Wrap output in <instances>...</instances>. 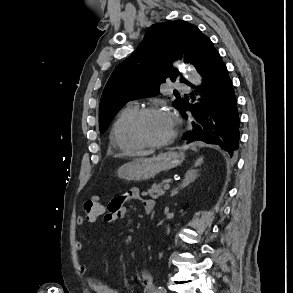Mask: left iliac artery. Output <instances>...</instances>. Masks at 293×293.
Instances as JSON below:
<instances>
[{
    "mask_svg": "<svg viewBox=\"0 0 293 293\" xmlns=\"http://www.w3.org/2000/svg\"><path fill=\"white\" fill-rule=\"evenodd\" d=\"M158 293H166V289L164 287H159Z\"/></svg>",
    "mask_w": 293,
    "mask_h": 293,
    "instance_id": "1",
    "label": "left iliac artery"
}]
</instances>
